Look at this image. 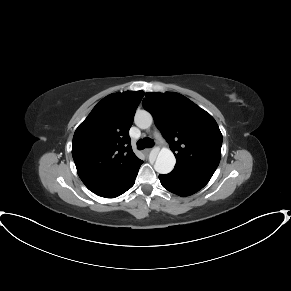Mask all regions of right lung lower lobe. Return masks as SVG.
<instances>
[{
  "label": "right lung lower lobe",
  "mask_w": 291,
  "mask_h": 291,
  "mask_svg": "<svg viewBox=\"0 0 291 291\" xmlns=\"http://www.w3.org/2000/svg\"><path fill=\"white\" fill-rule=\"evenodd\" d=\"M140 165L135 170V172L124 183H122L119 187L112 189V190H109V191L96 193V194L99 196H102V197H106V198H114V197H117V196L123 194L124 192L129 190L134 185L138 170L140 168Z\"/></svg>",
  "instance_id": "obj_1"
}]
</instances>
